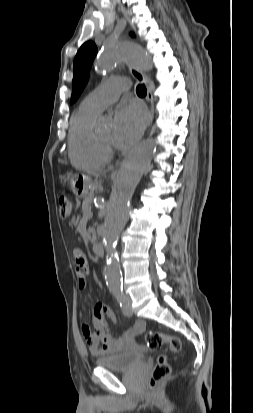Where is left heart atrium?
<instances>
[{"label":"left heart atrium","instance_id":"1","mask_svg":"<svg viewBox=\"0 0 253 413\" xmlns=\"http://www.w3.org/2000/svg\"><path fill=\"white\" fill-rule=\"evenodd\" d=\"M145 113L136 104L121 107L115 116L113 140L119 147H128L142 134L145 127Z\"/></svg>","mask_w":253,"mask_h":413}]
</instances>
